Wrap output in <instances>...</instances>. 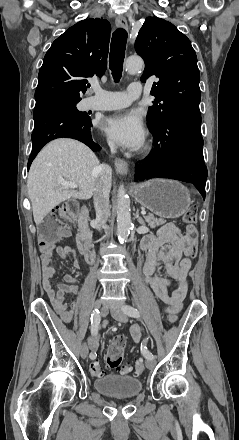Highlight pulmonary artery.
<instances>
[{
	"label": "pulmonary artery",
	"instance_id": "pulmonary-artery-1",
	"mask_svg": "<svg viewBox=\"0 0 239 440\" xmlns=\"http://www.w3.org/2000/svg\"><path fill=\"white\" fill-rule=\"evenodd\" d=\"M142 91L140 83H132L125 92H110L100 88L99 85L93 84L91 87V96L85 100L86 110H114L130 105L131 101L137 98ZM98 96L111 97L112 100L107 102H97L94 99Z\"/></svg>",
	"mask_w": 239,
	"mask_h": 440
}]
</instances>
